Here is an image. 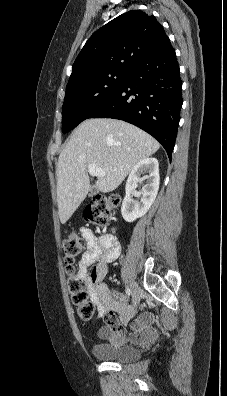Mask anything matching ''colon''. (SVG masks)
<instances>
[{"instance_id": "obj_1", "label": "colon", "mask_w": 227, "mask_h": 396, "mask_svg": "<svg viewBox=\"0 0 227 396\" xmlns=\"http://www.w3.org/2000/svg\"><path fill=\"white\" fill-rule=\"evenodd\" d=\"M115 196H96L84 213L85 219L98 227H105L110 221L111 212L119 205ZM86 248V242L76 234H70L63 240L65 270L68 275L67 287L77 314L83 321H89L95 312V305L88 299L84 282L77 277L76 260Z\"/></svg>"}]
</instances>
